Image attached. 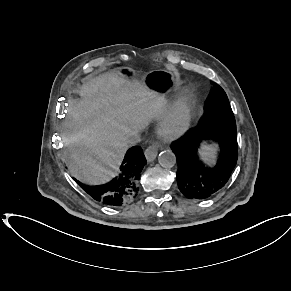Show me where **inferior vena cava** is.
I'll use <instances>...</instances> for the list:
<instances>
[{
  "mask_svg": "<svg viewBox=\"0 0 291 291\" xmlns=\"http://www.w3.org/2000/svg\"><path fill=\"white\" fill-rule=\"evenodd\" d=\"M139 133L140 131H131L126 137L127 144L130 146H134L140 143L141 137Z\"/></svg>",
  "mask_w": 291,
  "mask_h": 291,
  "instance_id": "1",
  "label": "inferior vena cava"
}]
</instances>
